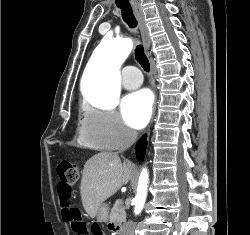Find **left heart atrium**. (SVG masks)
<instances>
[{"label": "left heart atrium", "instance_id": "1", "mask_svg": "<svg viewBox=\"0 0 250 235\" xmlns=\"http://www.w3.org/2000/svg\"><path fill=\"white\" fill-rule=\"evenodd\" d=\"M153 98L148 90H139L127 95L121 102L125 122L135 129L143 128L152 113Z\"/></svg>", "mask_w": 250, "mask_h": 235}]
</instances>
